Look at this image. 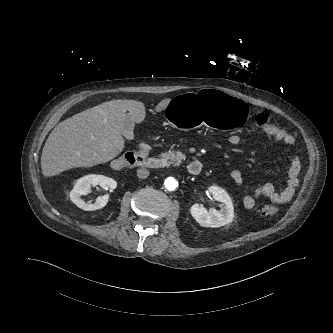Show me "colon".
<instances>
[{
  "label": "colon",
  "instance_id": "5ec220e1",
  "mask_svg": "<svg viewBox=\"0 0 333 333\" xmlns=\"http://www.w3.org/2000/svg\"><path fill=\"white\" fill-rule=\"evenodd\" d=\"M257 127L269 137H275L279 128L275 125L273 120L266 114H259L256 118ZM148 154L147 150L138 149L135 151L125 152L120 157L112 161L114 169H122L125 167L140 165L146 159ZM277 212V207L272 203L265 204L260 209V214L264 217L272 216Z\"/></svg>",
  "mask_w": 333,
  "mask_h": 333
}]
</instances>
